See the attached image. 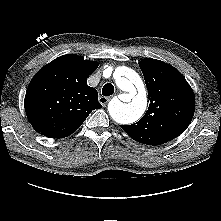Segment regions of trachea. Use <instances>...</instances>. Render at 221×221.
Here are the masks:
<instances>
[{
	"label": "trachea",
	"instance_id": "1",
	"mask_svg": "<svg viewBox=\"0 0 221 221\" xmlns=\"http://www.w3.org/2000/svg\"><path fill=\"white\" fill-rule=\"evenodd\" d=\"M114 93V86L111 83H107L102 88V94L104 96H110Z\"/></svg>",
	"mask_w": 221,
	"mask_h": 221
}]
</instances>
